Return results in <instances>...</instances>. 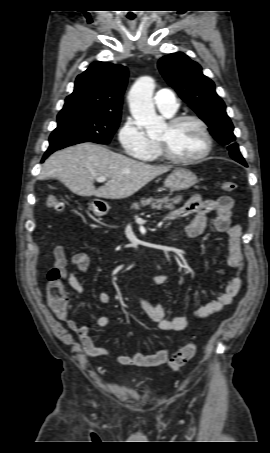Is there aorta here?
I'll return each instance as SVG.
<instances>
[{
	"instance_id": "1",
	"label": "aorta",
	"mask_w": 270,
	"mask_h": 453,
	"mask_svg": "<svg viewBox=\"0 0 270 453\" xmlns=\"http://www.w3.org/2000/svg\"><path fill=\"white\" fill-rule=\"evenodd\" d=\"M155 88L153 78L140 77L132 86L128 94L131 114L138 126L146 129L149 136L162 132L164 120L156 114L152 96Z\"/></svg>"
}]
</instances>
